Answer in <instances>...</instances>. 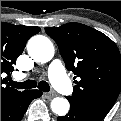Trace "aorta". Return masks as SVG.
Returning <instances> with one entry per match:
<instances>
[{"instance_id":"aorta-1","label":"aorta","mask_w":121,"mask_h":121,"mask_svg":"<svg viewBox=\"0 0 121 121\" xmlns=\"http://www.w3.org/2000/svg\"><path fill=\"white\" fill-rule=\"evenodd\" d=\"M27 50L32 59L40 63L50 61L54 56V46L50 39L42 35L33 36L27 44ZM69 102L65 98L56 97L51 101L52 111L64 116L69 111Z\"/></svg>"}]
</instances>
